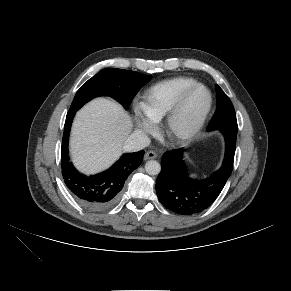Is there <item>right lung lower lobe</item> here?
I'll return each mask as SVG.
<instances>
[{
  "label": "right lung lower lobe",
  "mask_w": 291,
  "mask_h": 291,
  "mask_svg": "<svg viewBox=\"0 0 291 291\" xmlns=\"http://www.w3.org/2000/svg\"><path fill=\"white\" fill-rule=\"evenodd\" d=\"M76 111L67 113L61 147L64 182L73 196L87 209L101 211L111 207L119 198L125 180L142 162L144 151L122 155L111 168L94 176L79 173L69 161L68 140Z\"/></svg>",
  "instance_id": "1"
}]
</instances>
